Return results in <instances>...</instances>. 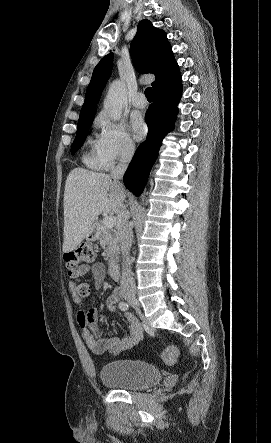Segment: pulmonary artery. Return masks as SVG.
<instances>
[{
	"label": "pulmonary artery",
	"mask_w": 271,
	"mask_h": 443,
	"mask_svg": "<svg viewBox=\"0 0 271 443\" xmlns=\"http://www.w3.org/2000/svg\"><path fill=\"white\" fill-rule=\"evenodd\" d=\"M132 104L134 107L143 109L147 106V99L142 92H138L135 94L132 100Z\"/></svg>",
	"instance_id": "1"
}]
</instances>
